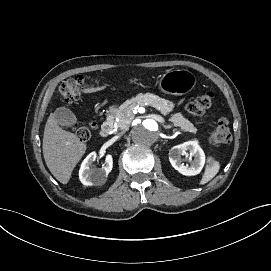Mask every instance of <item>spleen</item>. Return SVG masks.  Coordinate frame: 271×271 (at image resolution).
<instances>
[{"instance_id":"1","label":"spleen","mask_w":271,"mask_h":271,"mask_svg":"<svg viewBox=\"0 0 271 271\" xmlns=\"http://www.w3.org/2000/svg\"><path fill=\"white\" fill-rule=\"evenodd\" d=\"M207 163L208 164L206 165L205 172H204L203 177L200 181V184H202V185L206 184L212 178H214L220 169L219 162L215 161L212 157L208 158Z\"/></svg>"}]
</instances>
